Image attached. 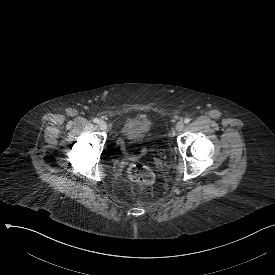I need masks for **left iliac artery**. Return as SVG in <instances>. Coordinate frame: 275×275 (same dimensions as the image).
I'll list each match as a JSON object with an SVG mask.
<instances>
[{"label": "left iliac artery", "instance_id": "44dca946", "mask_svg": "<svg viewBox=\"0 0 275 275\" xmlns=\"http://www.w3.org/2000/svg\"><path fill=\"white\" fill-rule=\"evenodd\" d=\"M184 122H185L186 124H188V123L190 122V119H189V118H186V119L184 120Z\"/></svg>", "mask_w": 275, "mask_h": 275}]
</instances>
